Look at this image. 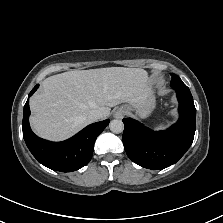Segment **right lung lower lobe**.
Instances as JSON below:
<instances>
[{
    "label": "right lung lower lobe",
    "mask_w": 223,
    "mask_h": 223,
    "mask_svg": "<svg viewBox=\"0 0 223 223\" xmlns=\"http://www.w3.org/2000/svg\"><path fill=\"white\" fill-rule=\"evenodd\" d=\"M36 85L29 93L31 96L38 88ZM29 99L24 106L22 121L23 137L33 156L42 165L61 172H72L87 165L92 158L97 136L110 120L91 124L72 138L63 142H50L36 136L29 125Z\"/></svg>",
    "instance_id": "right-lung-lower-lobe-1"
}]
</instances>
